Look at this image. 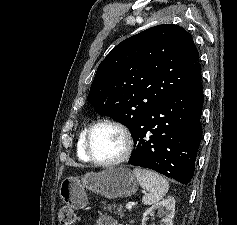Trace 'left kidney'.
Returning <instances> with one entry per match:
<instances>
[{
    "label": "left kidney",
    "instance_id": "obj_1",
    "mask_svg": "<svg viewBox=\"0 0 237 225\" xmlns=\"http://www.w3.org/2000/svg\"><path fill=\"white\" fill-rule=\"evenodd\" d=\"M164 208L166 211H164ZM158 209L160 211L159 215L163 216L161 222L163 224L161 225H173L172 219L175 214V199L174 197H168L165 200H162L161 202H158L151 206L149 209H147L142 218V225H146L147 216L149 214H152L154 210Z\"/></svg>",
    "mask_w": 237,
    "mask_h": 225
}]
</instances>
